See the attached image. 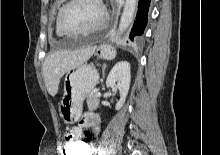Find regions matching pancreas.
I'll list each match as a JSON object with an SVG mask.
<instances>
[{
  "instance_id": "pancreas-1",
  "label": "pancreas",
  "mask_w": 220,
  "mask_h": 155,
  "mask_svg": "<svg viewBox=\"0 0 220 155\" xmlns=\"http://www.w3.org/2000/svg\"><path fill=\"white\" fill-rule=\"evenodd\" d=\"M86 102L89 111H93L99 106V98L96 96L95 92L87 96Z\"/></svg>"
}]
</instances>
